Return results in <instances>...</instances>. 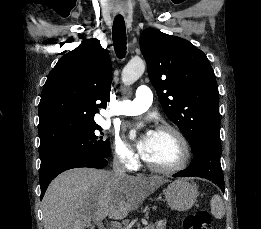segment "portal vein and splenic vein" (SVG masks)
<instances>
[{
	"label": "portal vein and splenic vein",
	"mask_w": 261,
	"mask_h": 229,
	"mask_svg": "<svg viewBox=\"0 0 261 229\" xmlns=\"http://www.w3.org/2000/svg\"><path fill=\"white\" fill-rule=\"evenodd\" d=\"M153 227L152 223H149L148 226H142L141 229H151Z\"/></svg>",
	"instance_id": "1"
}]
</instances>
